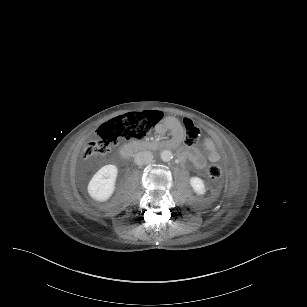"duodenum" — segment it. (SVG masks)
<instances>
[{
	"label": "duodenum",
	"mask_w": 307,
	"mask_h": 307,
	"mask_svg": "<svg viewBox=\"0 0 307 307\" xmlns=\"http://www.w3.org/2000/svg\"><path fill=\"white\" fill-rule=\"evenodd\" d=\"M156 147L171 149L173 148L169 141L167 142H159V141H136V142H129L125 144L121 150L120 153L123 157H126L132 153L144 151L148 149H155Z\"/></svg>",
	"instance_id": "duodenum-1"
}]
</instances>
